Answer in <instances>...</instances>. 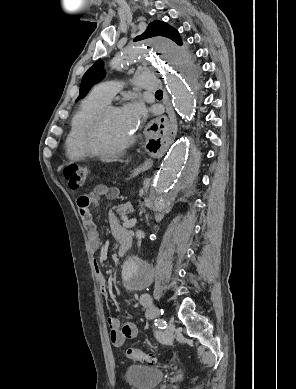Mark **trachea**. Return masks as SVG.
Returning <instances> with one entry per match:
<instances>
[{"mask_svg": "<svg viewBox=\"0 0 296 389\" xmlns=\"http://www.w3.org/2000/svg\"><path fill=\"white\" fill-rule=\"evenodd\" d=\"M155 94L156 95H162L163 93H162V90H157Z\"/></svg>", "mask_w": 296, "mask_h": 389, "instance_id": "obj_1", "label": "trachea"}]
</instances>
